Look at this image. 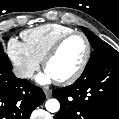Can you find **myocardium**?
Listing matches in <instances>:
<instances>
[{
	"instance_id": "obj_1",
	"label": "myocardium",
	"mask_w": 119,
	"mask_h": 119,
	"mask_svg": "<svg viewBox=\"0 0 119 119\" xmlns=\"http://www.w3.org/2000/svg\"><path fill=\"white\" fill-rule=\"evenodd\" d=\"M74 36H80L85 41V44H86L85 56H84L81 64L79 65V67L76 69L75 72H73L68 77H65V78L59 79V80H55L58 84H61V85H68V84L75 82L85 71V69L89 63V60L91 57V51H92L91 42L88 39V37L83 32H80V31L70 32V33L62 36L50 48V50L47 52V54L45 55V57L43 59V68L46 70L47 64L57 55V53L60 51V49L64 45V43Z\"/></svg>"
}]
</instances>
